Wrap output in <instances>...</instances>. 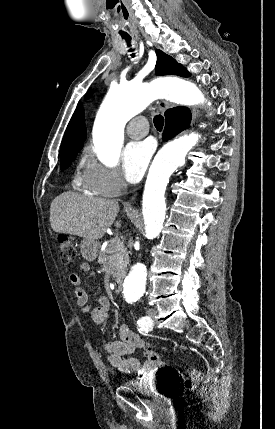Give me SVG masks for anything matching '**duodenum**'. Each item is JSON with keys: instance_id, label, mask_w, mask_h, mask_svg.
<instances>
[{"instance_id": "1", "label": "duodenum", "mask_w": 275, "mask_h": 429, "mask_svg": "<svg viewBox=\"0 0 275 429\" xmlns=\"http://www.w3.org/2000/svg\"><path fill=\"white\" fill-rule=\"evenodd\" d=\"M122 283H123V279L121 277H117L114 280L113 285H114V289H115L116 292H120L121 291Z\"/></svg>"}]
</instances>
